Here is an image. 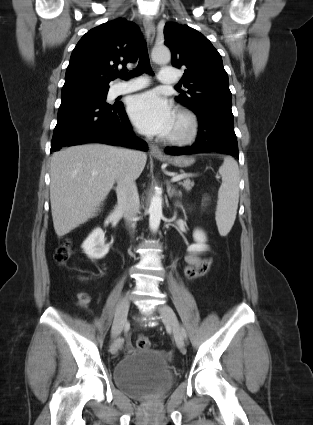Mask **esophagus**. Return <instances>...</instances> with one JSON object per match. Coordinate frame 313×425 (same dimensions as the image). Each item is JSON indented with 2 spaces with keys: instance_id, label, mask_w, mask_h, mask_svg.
Returning a JSON list of instances; mask_svg holds the SVG:
<instances>
[{
  "instance_id": "34e87169",
  "label": "esophagus",
  "mask_w": 313,
  "mask_h": 425,
  "mask_svg": "<svg viewBox=\"0 0 313 425\" xmlns=\"http://www.w3.org/2000/svg\"><path fill=\"white\" fill-rule=\"evenodd\" d=\"M143 25L145 28V32L147 35V40L149 45H151L153 43L154 37H155V26L154 23L152 21V19L150 18H145L143 21ZM150 153L151 155L155 156V157H164L163 151L156 146L155 144H150Z\"/></svg>"
}]
</instances>
